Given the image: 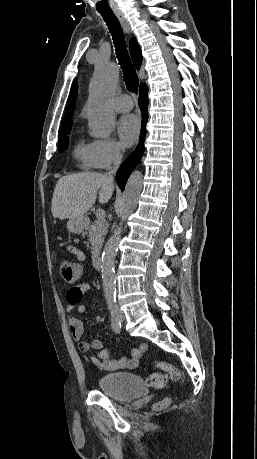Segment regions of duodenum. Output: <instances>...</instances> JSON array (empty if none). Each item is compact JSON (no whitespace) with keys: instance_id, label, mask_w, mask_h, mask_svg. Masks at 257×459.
Here are the masks:
<instances>
[{"instance_id":"duodenum-1","label":"duodenum","mask_w":257,"mask_h":459,"mask_svg":"<svg viewBox=\"0 0 257 459\" xmlns=\"http://www.w3.org/2000/svg\"><path fill=\"white\" fill-rule=\"evenodd\" d=\"M94 266L96 269H100L102 267V258L100 255L94 256Z\"/></svg>"}]
</instances>
